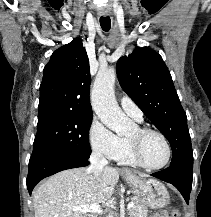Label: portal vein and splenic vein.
Wrapping results in <instances>:
<instances>
[{"mask_svg":"<svg viewBox=\"0 0 211 217\" xmlns=\"http://www.w3.org/2000/svg\"><path fill=\"white\" fill-rule=\"evenodd\" d=\"M133 206H134V203L132 201L129 202L127 205V210H130ZM73 210L76 212H81V213L92 212V213L103 214V210L101 209V207L98 204L73 207Z\"/></svg>","mask_w":211,"mask_h":217,"instance_id":"1","label":"portal vein and splenic vein"}]
</instances>
